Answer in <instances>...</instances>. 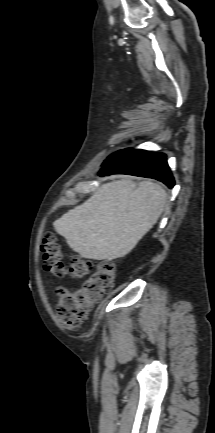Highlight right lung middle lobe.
<instances>
[{
	"instance_id": "obj_1",
	"label": "right lung middle lobe",
	"mask_w": 215,
	"mask_h": 433,
	"mask_svg": "<svg viewBox=\"0 0 215 433\" xmlns=\"http://www.w3.org/2000/svg\"><path fill=\"white\" fill-rule=\"evenodd\" d=\"M120 152H121V151H118V152L112 154L111 156L108 157V159H107L105 162H107L108 160H110L112 157H114L115 155H117V154L120 153Z\"/></svg>"
}]
</instances>
